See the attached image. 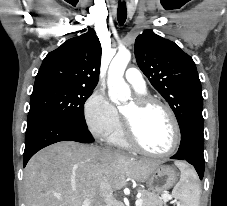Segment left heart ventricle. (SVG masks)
Masks as SVG:
<instances>
[{"instance_id":"left-heart-ventricle-1","label":"left heart ventricle","mask_w":227,"mask_h":206,"mask_svg":"<svg viewBox=\"0 0 227 206\" xmlns=\"http://www.w3.org/2000/svg\"><path fill=\"white\" fill-rule=\"evenodd\" d=\"M135 127L141 144L153 152H165L171 148L174 141V129L167 113L160 107L152 106L139 111L134 101L123 109Z\"/></svg>"}]
</instances>
